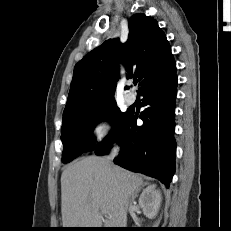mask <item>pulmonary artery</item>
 Listing matches in <instances>:
<instances>
[{"instance_id":"e3ab8cb5","label":"pulmonary artery","mask_w":231,"mask_h":231,"mask_svg":"<svg viewBox=\"0 0 231 231\" xmlns=\"http://www.w3.org/2000/svg\"><path fill=\"white\" fill-rule=\"evenodd\" d=\"M125 101L127 104L131 105L136 101V96L134 93L130 92L128 94H126L125 96Z\"/></svg>"}]
</instances>
